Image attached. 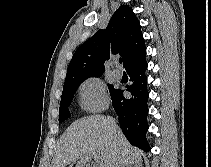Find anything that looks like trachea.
Here are the masks:
<instances>
[{
	"label": "trachea",
	"instance_id": "3493384b",
	"mask_svg": "<svg viewBox=\"0 0 211 167\" xmlns=\"http://www.w3.org/2000/svg\"><path fill=\"white\" fill-rule=\"evenodd\" d=\"M122 61H123L122 58H120V59H119V63H122Z\"/></svg>",
	"mask_w": 211,
	"mask_h": 167
}]
</instances>
